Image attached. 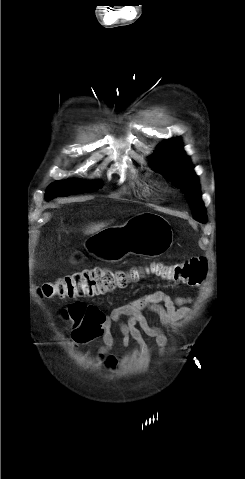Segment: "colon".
<instances>
[{"mask_svg": "<svg viewBox=\"0 0 245 479\" xmlns=\"http://www.w3.org/2000/svg\"><path fill=\"white\" fill-rule=\"evenodd\" d=\"M151 271L166 281L194 286L203 282L207 272V260L203 256H196L171 264L155 263L151 266ZM141 275L139 269H86L44 283L39 288V294L47 299L90 298L123 289L138 281ZM86 312L87 306L83 302H76L63 312L64 318L71 322L75 337L86 325Z\"/></svg>", "mask_w": 245, "mask_h": 479, "instance_id": "obj_1", "label": "colon"}]
</instances>
